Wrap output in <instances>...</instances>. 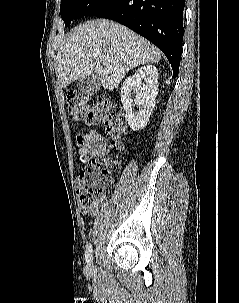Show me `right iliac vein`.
Segmentation results:
<instances>
[{
  "label": "right iliac vein",
  "mask_w": 239,
  "mask_h": 303,
  "mask_svg": "<svg viewBox=\"0 0 239 303\" xmlns=\"http://www.w3.org/2000/svg\"><path fill=\"white\" fill-rule=\"evenodd\" d=\"M87 269L92 270V265H91V264H90V265L88 264V265H87Z\"/></svg>",
  "instance_id": "1"
}]
</instances>
